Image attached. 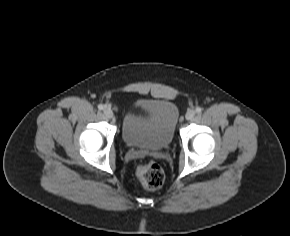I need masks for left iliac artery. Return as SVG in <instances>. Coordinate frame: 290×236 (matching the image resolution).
Wrapping results in <instances>:
<instances>
[{
    "label": "left iliac artery",
    "mask_w": 290,
    "mask_h": 236,
    "mask_svg": "<svg viewBox=\"0 0 290 236\" xmlns=\"http://www.w3.org/2000/svg\"><path fill=\"white\" fill-rule=\"evenodd\" d=\"M196 112H197V113H201V112H202V108H201V107H197V108H196Z\"/></svg>",
    "instance_id": "left-iliac-artery-1"
}]
</instances>
